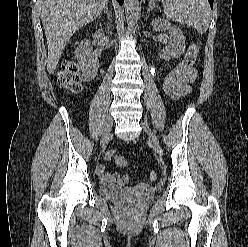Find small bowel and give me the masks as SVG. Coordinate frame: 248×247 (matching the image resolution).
<instances>
[{
	"label": "small bowel",
	"instance_id": "c3829d8e",
	"mask_svg": "<svg viewBox=\"0 0 248 247\" xmlns=\"http://www.w3.org/2000/svg\"><path fill=\"white\" fill-rule=\"evenodd\" d=\"M188 52V50H187ZM187 55V53H186ZM185 55V56H186ZM196 78V70L192 66L185 74L182 76L180 81V87L178 93L176 95V99L185 96L190 91V86ZM97 174L100 180L106 184H118L124 185L128 182L129 177L127 175H121L116 172H109L106 170L104 165H98L97 167Z\"/></svg>",
	"mask_w": 248,
	"mask_h": 247
}]
</instances>
